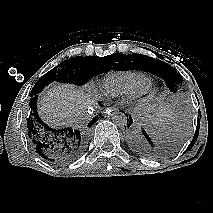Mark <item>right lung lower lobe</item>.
<instances>
[{"mask_svg":"<svg viewBox=\"0 0 213 213\" xmlns=\"http://www.w3.org/2000/svg\"><path fill=\"white\" fill-rule=\"evenodd\" d=\"M37 98V94L31 96L26 123L32 146L42 158L55 164L75 160L85 149L88 129L75 130L70 127L55 129L47 126L38 115ZM97 118L98 116L88 124V128Z\"/></svg>","mask_w":213,"mask_h":213,"instance_id":"98d812e1","label":"right lung lower lobe"}]
</instances>
